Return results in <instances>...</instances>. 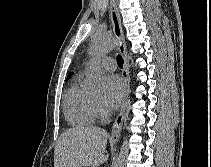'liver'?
Here are the masks:
<instances>
[{"label": "liver", "mask_w": 211, "mask_h": 167, "mask_svg": "<svg viewBox=\"0 0 211 167\" xmlns=\"http://www.w3.org/2000/svg\"><path fill=\"white\" fill-rule=\"evenodd\" d=\"M107 132L98 127L65 131L54 149V167H96L108 160Z\"/></svg>", "instance_id": "6515ba94"}]
</instances>
